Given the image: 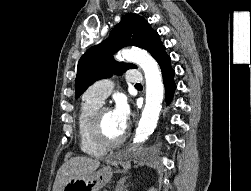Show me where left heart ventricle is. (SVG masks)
<instances>
[{
	"mask_svg": "<svg viewBox=\"0 0 251 191\" xmlns=\"http://www.w3.org/2000/svg\"><path fill=\"white\" fill-rule=\"evenodd\" d=\"M102 124H103V130L107 137L115 139L122 134V132L118 130V128L115 126L110 111H105L102 114Z\"/></svg>",
	"mask_w": 251,
	"mask_h": 191,
	"instance_id": "1",
	"label": "left heart ventricle"
}]
</instances>
